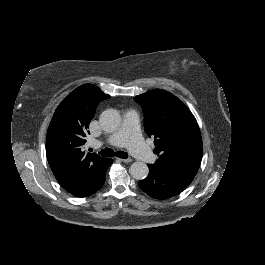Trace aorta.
Returning a JSON list of instances; mask_svg holds the SVG:
<instances>
[{
    "label": "aorta",
    "instance_id": "1",
    "mask_svg": "<svg viewBox=\"0 0 265 265\" xmlns=\"http://www.w3.org/2000/svg\"><path fill=\"white\" fill-rule=\"evenodd\" d=\"M100 124L108 132L118 129L121 124L119 111L112 108L105 109L100 115ZM129 172L134 179L143 180L148 176L149 169L144 162L137 161L131 164Z\"/></svg>",
    "mask_w": 265,
    "mask_h": 265
}]
</instances>
